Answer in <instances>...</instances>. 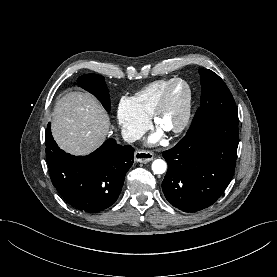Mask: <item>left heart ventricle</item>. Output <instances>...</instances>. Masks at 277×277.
Masks as SVG:
<instances>
[{
	"instance_id": "left-heart-ventricle-1",
	"label": "left heart ventricle",
	"mask_w": 277,
	"mask_h": 277,
	"mask_svg": "<svg viewBox=\"0 0 277 277\" xmlns=\"http://www.w3.org/2000/svg\"><path fill=\"white\" fill-rule=\"evenodd\" d=\"M186 98V88L182 84L173 87L167 105L158 120V128L168 132L176 127L182 115L183 106Z\"/></svg>"
}]
</instances>
